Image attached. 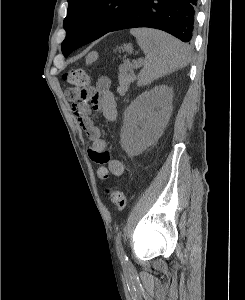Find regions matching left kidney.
Wrapping results in <instances>:
<instances>
[{"label":"left kidney","mask_w":245,"mask_h":300,"mask_svg":"<svg viewBox=\"0 0 245 300\" xmlns=\"http://www.w3.org/2000/svg\"><path fill=\"white\" fill-rule=\"evenodd\" d=\"M171 101V90L162 85L141 94L128 106L121 145L129 155H138L160 135L171 111Z\"/></svg>","instance_id":"5707ae66"}]
</instances>
